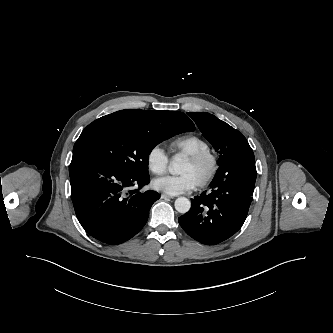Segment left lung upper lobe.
<instances>
[{
    "instance_id": "5c2ea615",
    "label": "left lung upper lobe",
    "mask_w": 333,
    "mask_h": 333,
    "mask_svg": "<svg viewBox=\"0 0 333 333\" xmlns=\"http://www.w3.org/2000/svg\"><path fill=\"white\" fill-rule=\"evenodd\" d=\"M188 115L195 121L203 136L220 153L219 165L239 150L250 147L238 130L216 116L206 112H189Z\"/></svg>"
}]
</instances>
